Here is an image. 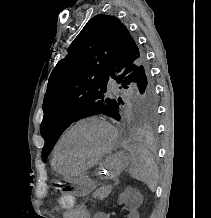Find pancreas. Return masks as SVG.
Returning <instances> with one entry per match:
<instances>
[{
	"instance_id": "obj_1",
	"label": "pancreas",
	"mask_w": 211,
	"mask_h": 218,
	"mask_svg": "<svg viewBox=\"0 0 211 218\" xmlns=\"http://www.w3.org/2000/svg\"><path fill=\"white\" fill-rule=\"evenodd\" d=\"M110 192H111V186H101L99 190H96V192L92 194V198H97V200H104V198H107Z\"/></svg>"
}]
</instances>
